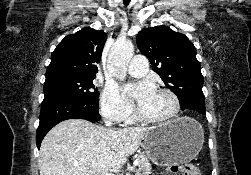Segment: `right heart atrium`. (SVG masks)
I'll use <instances>...</instances> for the list:
<instances>
[{
    "label": "right heart atrium",
    "instance_id": "1",
    "mask_svg": "<svg viewBox=\"0 0 251 175\" xmlns=\"http://www.w3.org/2000/svg\"><path fill=\"white\" fill-rule=\"evenodd\" d=\"M100 112L108 120L122 123L131 121L136 113L119 95L115 86H106L100 95Z\"/></svg>",
    "mask_w": 251,
    "mask_h": 175
}]
</instances>
